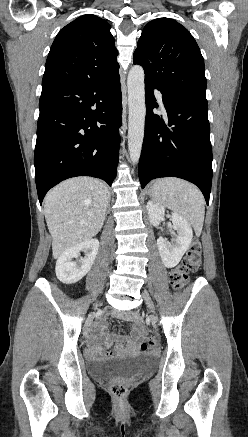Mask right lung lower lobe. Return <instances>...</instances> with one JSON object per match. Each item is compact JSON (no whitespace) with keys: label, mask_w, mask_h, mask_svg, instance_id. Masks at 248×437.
<instances>
[{"label":"right lung lower lobe","mask_w":248,"mask_h":437,"mask_svg":"<svg viewBox=\"0 0 248 437\" xmlns=\"http://www.w3.org/2000/svg\"><path fill=\"white\" fill-rule=\"evenodd\" d=\"M120 76L89 84L42 87L34 153L38 198L75 176L109 185L116 177L121 125Z\"/></svg>","instance_id":"98d812e1"}]
</instances>
